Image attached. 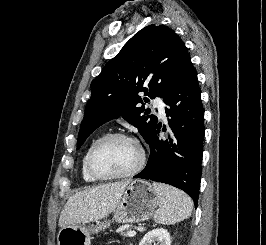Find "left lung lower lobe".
Returning <instances> with one entry per match:
<instances>
[{"label":"left lung lower lobe","instance_id":"left-lung-lower-lobe-1","mask_svg":"<svg viewBox=\"0 0 266 245\" xmlns=\"http://www.w3.org/2000/svg\"><path fill=\"white\" fill-rule=\"evenodd\" d=\"M197 72L190 57L185 60L163 101L171 137L159 139L161 123L150 133V156L143 171L135 178L151 179L182 189L197 207L203 154L204 109L200 99ZM165 131V130H163Z\"/></svg>","mask_w":266,"mask_h":245}]
</instances>
